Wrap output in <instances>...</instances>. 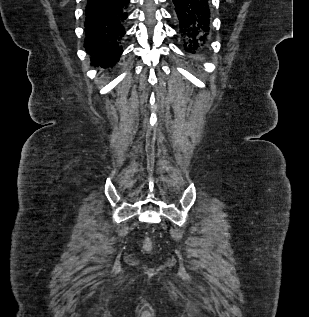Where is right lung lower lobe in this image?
I'll list each match as a JSON object with an SVG mask.
<instances>
[{
  "instance_id": "right-lung-lower-lobe-1",
  "label": "right lung lower lobe",
  "mask_w": 309,
  "mask_h": 317,
  "mask_svg": "<svg viewBox=\"0 0 309 317\" xmlns=\"http://www.w3.org/2000/svg\"><path fill=\"white\" fill-rule=\"evenodd\" d=\"M130 0H88L85 19L86 52L91 64L113 67L122 54Z\"/></svg>"
}]
</instances>
